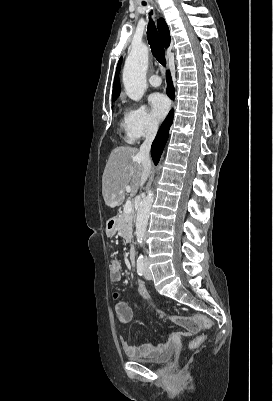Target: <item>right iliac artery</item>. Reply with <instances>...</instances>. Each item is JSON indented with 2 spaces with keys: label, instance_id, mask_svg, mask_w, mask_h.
<instances>
[{
  "label": "right iliac artery",
  "instance_id": "1",
  "mask_svg": "<svg viewBox=\"0 0 273 401\" xmlns=\"http://www.w3.org/2000/svg\"><path fill=\"white\" fill-rule=\"evenodd\" d=\"M137 273L138 275L142 276L144 273V262L142 258L137 260Z\"/></svg>",
  "mask_w": 273,
  "mask_h": 401
}]
</instances>
